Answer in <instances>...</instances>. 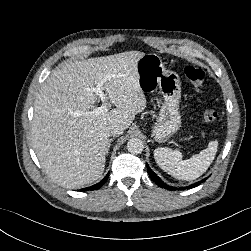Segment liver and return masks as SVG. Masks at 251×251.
Instances as JSON below:
<instances>
[{
  "mask_svg": "<svg viewBox=\"0 0 251 251\" xmlns=\"http://www.w3.org/2000/svg\"><path fill=\"white\" fill-rule=\"evenodd\" d=\"M144 52L129 51L82 61H66L43 83L36 97L31 128L33 149L47 175L58 185L76 189L100 179L104 172L108 128L126 130L146 108L138 83L137 62ZM102 84L116 106L105 114L91 112Z\"/></svg>",
  "mask_w": 251,
  "mask_h": 251,
  "instance_id": "liver-1",
  "label": "liver"
}]
</instances>
